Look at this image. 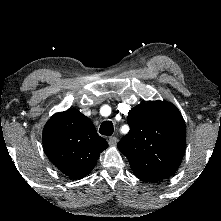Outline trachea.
<instances>
[{
  "label": "trachea",
  "mask_w": 221,
  "mask_h": 221,
  "mask_svg": "<svg viewBox=\"0 0 221 221\" xmlns=\"http://www.w3.org/2000/svg\"><path fill=\"white\" fill-rule=\"evenodd\" d=\"M113 131L114 127L111 121H104L99 128L100 134L105 136H111L113 134Z\"/></svg>",
  "instance_id": "trachea-1"
}]
</instances>
